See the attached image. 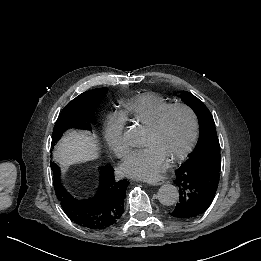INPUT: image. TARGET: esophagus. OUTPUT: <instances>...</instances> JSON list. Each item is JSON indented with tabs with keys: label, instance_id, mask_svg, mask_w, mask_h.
I'll use <instances>...</instances> for the list:
<instances>
[{
	"label": "esophagus",
	"instance_id": "obj_1",
	"mask_svg": "<svg viewBox=\"0 0 261 261\" xmlns=\"http://www.w3.org/2000/svg\"><path fill=\"white\" fill-rule=\"evenodd\" d=\"M146 182L150 185H161L164 183L163 179H147Z\"/></svg>",
	"mask_w": 261,
	"mask_h": 261
}]
</instances>
